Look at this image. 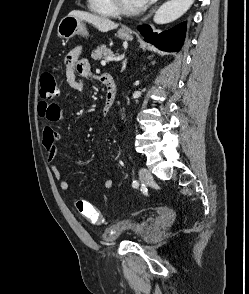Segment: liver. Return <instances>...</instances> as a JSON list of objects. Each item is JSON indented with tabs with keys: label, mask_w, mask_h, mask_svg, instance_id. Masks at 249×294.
<instances>
[{
	"label": "liver",
	"mask_w": 249,
	"mask_h": 294,
	"mask_svg": "<svg viewBox=\"0 0 249 294\" xmlns=\"http://www.w3.org/2000/svg\"><path fill=\"white\" fill-rule=\"evenodd\" d=\"M69 15L75 16L83 21L92 24L101 32H108L118 27L117 23H114L106 17H100L84 11L73 10L69 13Z\"/></svg>",
	"instance_id": "6515ba94"
}]
</instances>
